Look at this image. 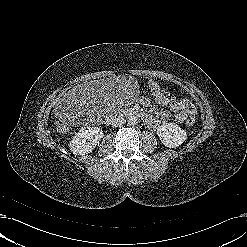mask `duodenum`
<instances>
[{
    "mask_svg": "<svg viewBox=\"0 0 247 247\" xmlns=\"http://www.w3.org/2000/svg\"><path fill=\"white\" fill-rule=\"evenodd\" d=\"M125 115L127 116H137V117H142L146 122L148 121V116L142 114L139 110L137 109H128L127 111L124 112ZM121 116V114H114L109 117V119H117Z\"/></svg>",
    "mask_w": 247,
    "mask_h": 247,
    "instance_id": "1",
    "label": "duodenum"
}]
</instances>
